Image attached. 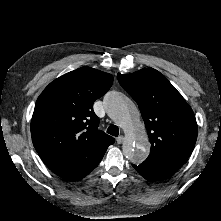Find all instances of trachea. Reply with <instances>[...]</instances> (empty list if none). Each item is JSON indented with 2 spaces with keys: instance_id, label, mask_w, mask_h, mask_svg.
<instances>
[{
  "instance_id": "1",
  "label": "trachea",
  "mask_w": 221,
  "mask_h": 221,
  "mask_svg": "<svg viewBox=\"0 0 221 221\" xmlns=\"http://www.w3.org/2000/svg\"><path fill=\"white\" fill-rule=\"evenodd\" d=\"M107 133L117 137L119 134V129L116 125H110L107 129Z\"/></svg>"
}]
</instances>
